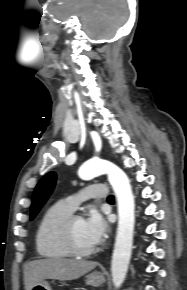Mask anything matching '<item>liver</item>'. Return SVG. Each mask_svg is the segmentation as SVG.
I'll use <instances>...</instances> for the list:
<instances>
[{"label": "liver", "instance_id": "1", "mask_svg": "<svg viewBox=\"0 0 187 290\" xmlns=\"http://www.w3.org/2000/svg\"><path fill=\"white\" fill-rule=\"evenodd\" d=\"M97 264L94 261L63 258H46L27 262L24 265L25 290H31L35 284L45 279H77L94 269Z\"/></svg>", "mask_w": 187, "mask_h": 290}]
</instances>
